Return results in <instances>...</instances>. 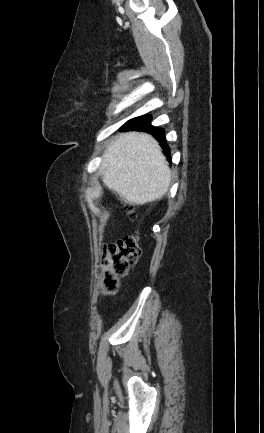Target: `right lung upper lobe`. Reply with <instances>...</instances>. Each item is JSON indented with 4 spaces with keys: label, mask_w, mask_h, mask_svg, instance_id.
<instances>
[{
    "label": "right lung upper lobe",
    "mask_w": 264,
    "mask_h": 433,
    "mask_svg": "<svg viewBox=\"0 0 264 433\" xmlns=\"http://www.w3.org/2000/svg\"><path fill=\"white\" fill-rule=\"evenodd\" d=\"M168 148V147H167ZM165 150L167 151V152H169V148H168V150L165 148Z\"/></svg>",
    "instance_id": "right-lung-upper-lobe-1"
}]
</instances>
